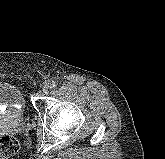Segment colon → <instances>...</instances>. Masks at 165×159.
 I'll return each mask as SVG.
<instances>
[{
    "label": "colon",
    "instance_id": "colon-1",
    "mask_svg": "<svg viewBox=\"0 0 165 159\" xmlns=\"http://www.w3.org/2000/svg\"><path fill=\"white\" fill-rule=\"evenodd\" d=\"M19 143L16 138L10 135L0 137V159H7L17 153Z\"/></svg>",
    "mask_w": 165,
    "mask_h": 159
}]
</instances>
